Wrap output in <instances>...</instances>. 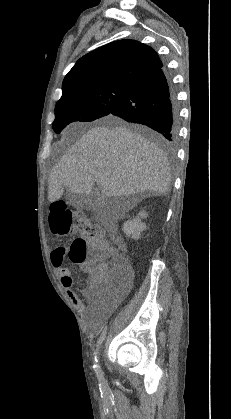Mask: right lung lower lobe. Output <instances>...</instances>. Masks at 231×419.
Masks as SVG:
<instances>
[{"mask_svg":"<svg viewBox=\"0 0 231 419\" xmlns=\"http://www.w3.org/2000/svg\"><path fill=\"white\" fill-rule=\"evenodd\" d=\"M109 115L145 124L161 133L169 143H174L179 111L173 84L163 71V65L139 79Z\"/></svg>","mask_w":231,"mask_h":419,"instance_id":"obj_1","label":"right lung lower lobe"}]
</instances>
